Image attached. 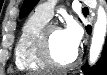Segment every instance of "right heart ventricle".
I'll list each match as a JSON object with an SVG mask.
<instances>
[{
  "label": "right heart ventricle",
  "instance_id": "right-heart-ventricle-1",
  "mask_svg": "<svg viewBox=\"0 0 107 75\" xmlns=\"http://www.w3.org/2000/svg\"><path fill=\"white\" fill-rule=\"evenodd\" d=\"M47 22L48 20L37 12L30 15L24 22L14 50L15 64L19 70L33 72L47 70L36 48L37 37Z\"/></svg>",
  "mask_w": 107,
  "mask_h": 75
}]
</instances>
